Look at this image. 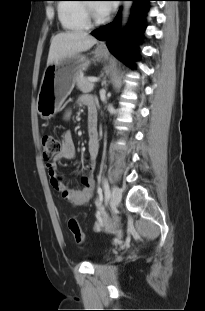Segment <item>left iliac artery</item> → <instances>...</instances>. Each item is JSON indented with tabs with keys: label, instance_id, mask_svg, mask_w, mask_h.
<instances>
[{
	"label": "left iliac artery",
	"instance_id": "44dca946",
	"mask_svg": "<svg viewBox=\"0 0 205 311\" xmlns=\"http://www.w3.org/2000/svg\"><path fill=\"white\" fill-rule=\"evenodd\" d=\"M103 186H104L105 200L107 201L110 198V190H109L108 181L106 179H104L103 181ZM100 200H101V197H100Z\"/></svg>",
	"mask_w": 205,
	"mask_h": 311
}]
</instances>
